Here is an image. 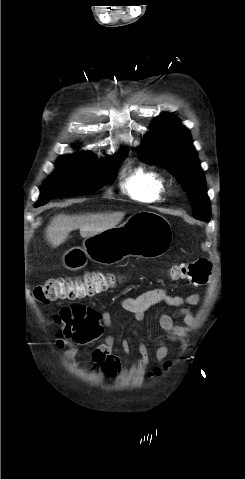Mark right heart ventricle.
Listing matches in <instances>:
<instances>
[{"label":"right heart ventricle","instance_id":"1","mask_svg":"<svg viewBox=\"0 0 245 479\" xmlns=\"http://www.w3.org/2000/svg\"><path fill=\"white\" fill-rule=\"evenodd\" d=\"M122 187L131 198L143 203H153L165 194L167 179L157 170L140 166L127 176Z\"/></svg>","mask_w":245,"mask_h":479}]
</instances>
